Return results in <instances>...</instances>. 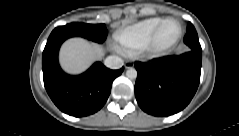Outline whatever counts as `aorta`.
<instances>
[{
	"label": "aorta",
	"instance_id": "aorta-1",
	"mask_svg": "<svg viewBox=\"0 0 239 136\" xmlns=\"http://www.w3.org/2000/svg\"><path fill=\"white\" fill-rule=\"evenodd\" d=\"M126 76L130 79H135L137 77V71L135 68H128L126 71Z\"/></svg>",
	"mask_w": 239,
	"mask_h": 136
}]
</instances>
